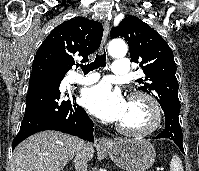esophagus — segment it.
<instances>
[{
  "label": "esophagus",
  "instance_id": "esophagus-1",
  "mask_svg": "<svg viewBox=\"0 0 199 171\" xmlns=\"http://www.w3.org/2000/svg\"><path fill=\"white\" fill-rule=\"evenodd\" d=\"M104 33H103V39L101 43L100 50L102 51L107 43L108 33H109V22L107 20L104 21ZM112 144V141L105 137H97L95 138V145L100 148L108 147Z\"/></svg>",
  "mask_w": 199,
  "mask_h": 171
}]
</instances>
